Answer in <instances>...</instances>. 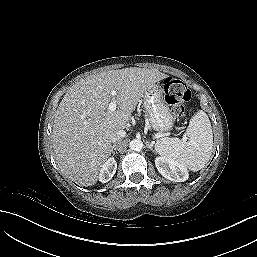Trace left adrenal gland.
<instances>
[{"label":"left adrenal gland","mask_w":257,"mask_h":257,"mask_svg":"<svg viewBox=\"0 0 257 257\" xmlns=\"http://www.w3.org/2000/svg\"><path fill=\"white\" fill-rule=\"evenodd\" d=\"M147 147L154 152L153 143L147 142Z\"/></svg>","instance_id":"a2214340"}]
</instances>
